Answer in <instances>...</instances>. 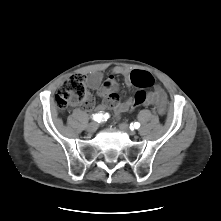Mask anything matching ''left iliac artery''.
I'll use <instances>...</instances> for the list:
<instances>
[{"label":"left iliac artery","mask_w":221,"mask_h":221,"mask_svg":"<svg viewBox=\"0 0 221 221\" xmlns=\"http://www.w3.org/2000/svg\"><path fill=\"white\" fill-rule=\"evenodd\" d=\"M135 128V129H138L140 127V123L138 122H135L134 124H131L130 128Z\"/></svg>","instance_id":"44dca946"}]
</instances>
